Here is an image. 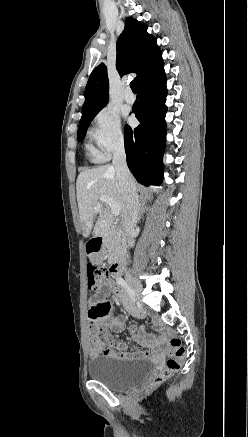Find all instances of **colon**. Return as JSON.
<instances>
[{"instance_id":"obj_1","label":"colon","mask_w":248,"mask_h":437,"mask_svg":"<svg viewBox=\"0 0 248 437\" xmlns=\"http://www.w3.org/2000/svg\"><path fill=\"white\" fill-rule=\"evenodd\" d=\"M111 275V270L105 266L89 264L87 267L88 288L91 292L96 293L101 285H104ZM92 305H99L94 303ZM185 350L179 338H173L170 341V357L166 366L161 369L145 386V389L152 390L164 383L173 373L179 370Z\"/></svg>"}]
</instances>
